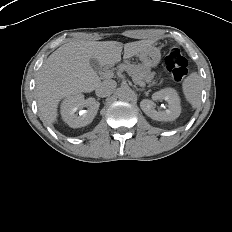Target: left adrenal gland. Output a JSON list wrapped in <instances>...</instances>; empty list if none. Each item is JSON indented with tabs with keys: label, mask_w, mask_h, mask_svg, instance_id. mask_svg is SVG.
Listing matches in <instances>:
<instances>
[{
	"label": "left adrenal gland",
	"mask_w": 232,
	"mask_h": 232,
	"mask_svg": "<svg viewBox=\"0 0 232 232\" xmlns=\"http://www.w3.org/2000/svg\"><path fill=\"white\" fill-rule=\"evenodd\" d=\"M139 91H144V89H139Z\"/></svg>",
	"instance_id": "a2214340"
}]
</instances>
